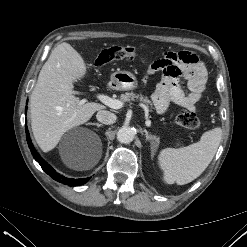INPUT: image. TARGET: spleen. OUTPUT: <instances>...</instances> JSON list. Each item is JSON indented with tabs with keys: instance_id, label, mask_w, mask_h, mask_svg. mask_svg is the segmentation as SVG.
<instances>
[{
	"instance_id": "spleen-1",
	"label": "spleen",
	"mask_w": 247,
	"mask_h": 247,
	"mask_svg": "<svg viewBox=\"0 0 247 247\" xmlns=\"http://www.w3.org/2000/svg\"><path fill=\"white\" fill-rule=\"evenodd\" d=\"M222 137L216 127L202 134L200 141L178 149L165 148L158 155V164L167 184L184 185L199 177L212 161Z\"/></svg>"
}]
</instances>
